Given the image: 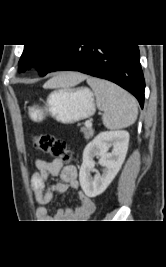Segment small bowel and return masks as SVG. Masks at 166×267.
I'll list each match as a JSON object with an SVG mask.
<instances>
[{
	"label": "small bowel",
	"instance_id": "small-bowel-1",
	"mask_svg": "<svg viewBox=\"0 0 166 267\" xmlns=\"http://www.w3.org/2000/svg\"><path fill=\"white\" fill-rule=\"evenodd\" d=\"M37 171L32 175L31 185L35 193L36 217L48 222H79L86 220L94 208L93 200L80 190L77 169L73 165L64 166L60 159L51 162L36 161ZM59 176L60 182L49 183V178ZM68 189L77 190L78 205L74 209L58 210L50 214L46 205L54 194L65 193Z\"/></svg>",
	"mask_w": 166,
	"mask_h": 267
}]
</instances>
